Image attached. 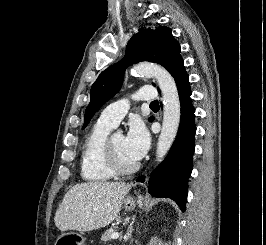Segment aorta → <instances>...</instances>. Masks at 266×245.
<instances>
[{
    "instance_id": "762f6f07",
    "label": "aorta",
    "mask_w": 266,
    "mask_h": 245,
    "mask_svg": "<svg viewBox=\"0 0 266 245\" xmlns=\"http://www.w3.org/2000/svg\"><path fill=\"white\" fill-rule=\"evenodd\" d=\"M131 72L132 74H141V76H154L162 92L164 112L162 129L157 143L156 159L163 161L173 141H175L180 123L181 104L177 84L172 74L160 64H136L131 68Z\"/></svg>"
}]
</instances>
